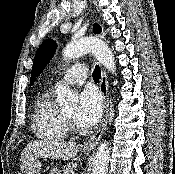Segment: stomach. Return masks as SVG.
<instances>
[{"mask_svg": "<svg viewBox=\"0 0 175 174\" xmlns=\"http://www.w3.org/2000/svg\"><path fill=\"white\" fill-rule=\"evenodd\" d=\"M41 163L38 159L22 163L21 174H40ZM59 174V172H57Z\"/></svg>", "mask_w": 175, "mask_h": 174, "instance_id": "obj_1", "label": "stomach"}]
</instances>
